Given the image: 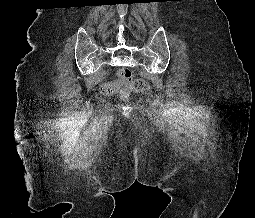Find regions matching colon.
I'll return each mask as SVG.
<instances>
[{
    "instance_id": "obj_1",
    "label": "colon",
    "mask_w": 255,
    "mask_h": 218,
    "mask_svg": "<svg viewBox=\"0 0 255 218\" xmlns=\"http://www.w3.org/2000/svg\"><path fill=\"white\" fill-rule=\"evenodd\" d=\"M117 85H110L103 88L105 93H112L120 89L122 96H127L130 91L145 93L149 85L142 79L134 78L130 69L121 67L117 71Z\"/></svg>"
}]
</instances>
